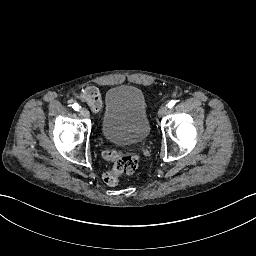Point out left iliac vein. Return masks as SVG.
I'll return each mask as SVG.
<instances>
[{"instance_id": "obj_1", "label": "left iliac vein", "mask_w": 256, "mask_h": 256, "mask_svg": "<svg viewBox=\"0 0 256 256\" xmlns=\"http://www.w3.org/2000/svg\"><path fill=\"white\" fill-rule=\"evenodd\" d=\"M168 111V106L167 105H162L159 110H158V116H164Z\"/></svg>"}]
</instances>
